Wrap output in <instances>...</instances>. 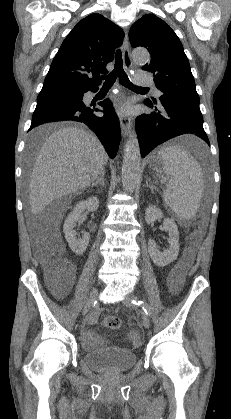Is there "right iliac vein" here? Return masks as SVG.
<instances>
[{
  "mask_svg": "<svg viewBox=\"0 0 231 419\" xmlns=\"http://www.w3.org/2000/svg\"><path fill=\"white\" fill-rule=\"evenodd\" d=\"M97 296H98V289L95 288V289L92 290V292L89 295V298H88V300H87V302H86V304H85V306L82 310V315H86L89 312L93 303L97 299Z\"/></svg>",
  "mask_w": 231,
  "mask_h": 419,
  "instance_id": "1",
  "label": "right iliac vein"
}]
</instances>
